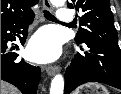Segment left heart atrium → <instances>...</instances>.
<instances>
[{"mask_svg":"<svg viewBox=\"0 0 121 94\" xmlns=\"http://www.w3.org/2000/svg\"><path fill=\"white\" fill-rule=\"evenodd\" d=\"M61 43L58 35L49 28L37 32L30 41L26 56L35 62H50L59 57Z\"/></svg>","mask_w":121,"mask_h":94,"instance_id":"obj_1","label":"left heart atrium"}]
</instances>
